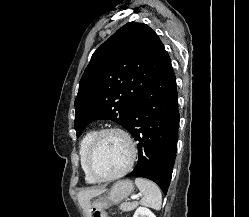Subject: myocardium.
Wrapping results in <instances>:
<instances>
[{"mask_svg":"<svg viewBox=\"0 0 249 217\" xmlns=\"http://www.w3.org/2000/svg\"><path fill=\"white\" fill-rule=\"evenodd\" d=\"M110 133H117L120 134L121 136H123L125 138V140L127 141L129 148H130V158L129 161L127 163V165L119 172L110 175V176H99L98 174H96L92 168V158L94 155V152L96 150V147L98 145V143L100 142V140L107 134ZM136 157H137V148L135 145L134 140L132 139L131 135L121 129V128H117V127H110V128H105L100 130L95 137L93 138V140L91 141L89 148H88V152L86 155V168L88 173L90 174V176L95 179L98 182H109L115 179H118L124 175H126L134 166L135 161H136Z\"/></svg>","mask_w":249,"mask_h":217,"instance_id":"1","label":"myocardium"}]
</instances>
